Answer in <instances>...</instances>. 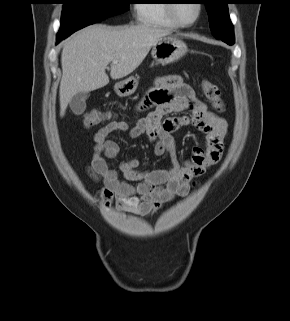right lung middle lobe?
<instances>
[{"instance_id":"dd1d6c3e","label":"right lung middle lobe","mask_w":290,"mask_h":321,"mask_svg":"<svg viewBox=\"0 0 290 321\" xmlns=\"http://www.w3.org/2000/svg\"><path fill=\"white\" fill-rule=\"evenodd\" d=\"M61 25L57 37L66 38L73 32L121 14L129 9V0H62Z\"/></svg>"}]
</instances>
